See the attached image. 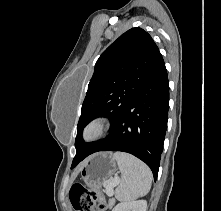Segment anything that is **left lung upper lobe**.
<instances>
[{
  "label": "left lung upper lobe",
  "instance_id": "5c2ea615",
  "mask_svg": "<svg viewBox=\"0 0 221 211\" xmlns=\"http://www.w3.org/2000/svg\"><path fill=\"white\" fill-rule=\"evenodd\" d=\"M159 54L151 36L141 28L128 30L101 54L82 105L71 168L100 142L85 143L83 128L94 118L105 116L110 118L112 129L138 93Z\"/></svg>",
  "mask_w": 221,
  "mask_h": 211
}]
</instances>
